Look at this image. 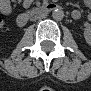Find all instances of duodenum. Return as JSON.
Wrapping results in <instances>:
<instances>
[{"label": "duodenum", "instance_id": "duodenum-1", "mask_svg": "<svg viewBox=\"0 0 91 91\" xmlns=\"http://www.w3.org/2000/svg\"><path fill=\"white\" fill-rule=\"evenodd\" d=\"M59 8L56 3H46L36 7H33L20 15H18L16 22L19 27L25 26L31 19L48 14L49 12Z\"/></svg>", "mask_w": 91, "mask_h": 91}]
</instances>
